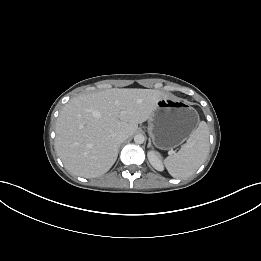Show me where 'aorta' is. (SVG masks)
Returning a JSON list of instances; mask_svg holds the SVG:
<instances>
[{
  "instance_id": "1",
  "label": "aorta",
  "mask_w": 261,
  "mask_h": 261,
  "mask_svg": "<svg viewBox=\"0 0 261 261\" xmlns=\"http://www.w3.org/2000/svg\"><path fill=\"white\" fill-rule=\"evenodd\" d=\"M145 141V137L142 134H137L134 136V142L137 144H142Z\"/></svg>"
}]
</instances>
